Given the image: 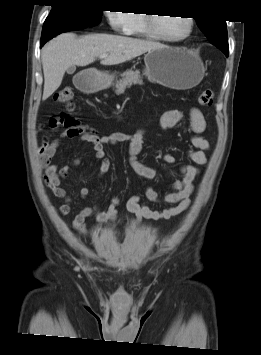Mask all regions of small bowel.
<instances>
[{"mask_svg":"<svg viewBox=\"0 0 261 355\" xmlns=\"http://www.w3.org/2000/svg\"><path fill=\"white\" fill-rule=\"evenodd\" d=\"M183 113L178 110H170L165 112L160 121L162 129H171L176 127L183 121ZM49 127L57 129L59 126H65L66 129L54 138L45 136L38 147L41 166L45 170L44 183L53 195L62 199L64 203L59 206L58 212L61 216H66L71 212L72 197L62 187L63 181L67 178L72 166L80 163L79 159L74 160L71 164L58 166L52 164L59 146L67 139H80L93 145L94 156L100 160V176L107 173L111 166V160L107 157L105 146L120 145L126 143L128 145V162L132 170L140 177L152 180L163 177L165 174L157 169L144 165L138 160V156L143 149L144 129H139L134 134L111 133L100 136L96 130L88 125L81 124L76 119H57L58 126ZM190 122V147L186 150V157L189 163L180 166L179 173L181 179L176 180L170 190L163 195L157 191L149 189L146 191V197L154 203L169 204L170 207L163 210H154L144 204L139 196H132L126 203V208L134 216L130 220L132 225H138L143 220H163L170 219L181 214L190 206V197L194 190V180L199 174L197 165L206 163L205 150L208 148V141L201 136L206 129V121L202 112L197 108H192L189 113ZM163 160L167 163H175L176 158L172 154H164ZM89 188L83 187L80 190V197L85 199L89 195ZM120 199L113 197L108 208L104 211L99 210L95 206L84 207L76 214L72 221V228L82 234H88L87 219L95 216L101 223L113 222L118 216V206Z\"/></svg>","mask_w":261,"mask_h":355,"instance_id":"1","label":"small bowel"}]
</instances>
